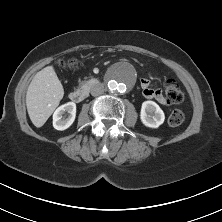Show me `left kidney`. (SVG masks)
Instances as JSON below:
<instances>
[{
    "instance_id": "5707ae66",
    "label": "left kidney",
    "mask_w": 222,
    "mask_h": 222,
    "mask_svg": "<svg viewBox=\"0 0 222 222\" xmlns=\"http://www.w3.org/2000/svg\"><path fill=\"white\" fill-rule=\"evenodd\" d=\"M140 119L145 126L158 128L163 124L165 115L157 103L154 101H144L141 107Z\"/></svg>"
}]
</instances>
